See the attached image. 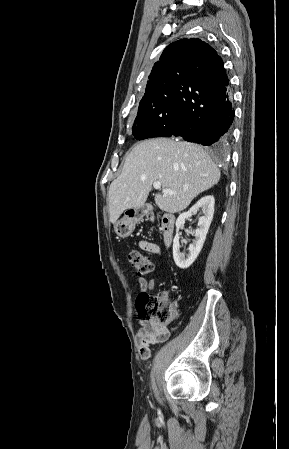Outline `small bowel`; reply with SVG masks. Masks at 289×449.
<instances>
[{
  "label": "small bowel",
  "mask_w": 289,
  "mask_h": 449,
  "mask_svg": "<svg viewBox=\"0 0 289 449\" xmlns=\"http://www.w3.org/2000/svg\"><path fill=\"white\" fill-rule=\"evenodd\" d=\"M140 247L148 252L159 254V247L148 241H140ZM139 287L141 292H149L154 289L156 284V278L147 280L143 277L139 278ZM140 328L136 332V344L140 353V356L144 359L150 356V347L153 344L161 343L167 340L169 334L159 335L155 333L150 325L145 320H139Z\"/></svg>",
  "instance_id": "1"
}]
</instances>
